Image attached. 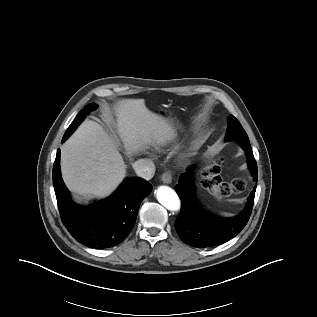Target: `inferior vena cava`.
Returning a JSON list of instances; mask_svg holds the SVG:
<instances>
[{
  "label": "inferior vena cava",
  "instance_id": "1",
  "mask_svg": "<svg viewBox=\"0 0 317 317\" xmlns=\"http://www.w3.org/2000/svg\"><path fill=\"white\" fill-rule=\"evenodd\" d=\"M135 170L137 176L150 180L155 174V165L149 159H139L132 165Z\"/></svg>",
  "mask_w": 317,
  "mask_h": 317
}]
</instances>
